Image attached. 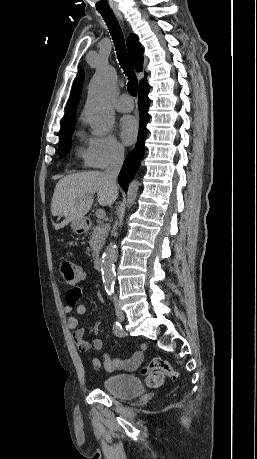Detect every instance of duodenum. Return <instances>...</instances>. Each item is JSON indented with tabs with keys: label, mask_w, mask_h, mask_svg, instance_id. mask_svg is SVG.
I'll use <instances>...</instances> for the list:
<instances>
[{
	"label": "duodenum",
	"mask_w": 257,
	"mask_h": 459,
	"mask_svg": "<svg viewBox=\"0 0 257 459\" xmlns=\"http://www.w3.org/2000/svg\"><path fill=\"white\" fill-rule=\"evenodd\" d=\"M90 226H91V222L90 221L84 220L82 222V228L84 230L90 228ZM94 262H95L96 269L100 270L102 268V258L100 256H95Z\"/></svg>",
	"instance_id": "410a0bca"
}]
</instances>
